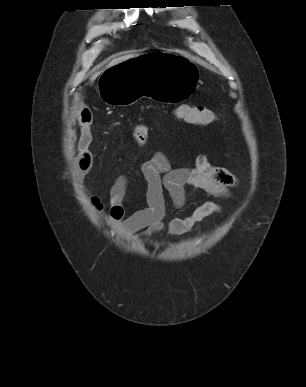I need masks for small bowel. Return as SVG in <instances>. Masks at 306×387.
Instances as JSON below:
<instances>
[{"mask_svg":"<svg viewBox=\"0 0 306 387\" xmlns=\"http://www.w3.org/2000/svg\"><path fill=\"white\" fill-rule=\"evenodd\" d=\"M79 123L75 170L79 177H83L93 164V154L89 149L92 142V115L88 109L80 111ZM141 171L147 184L145 208L135 211L128 217L125 216L123 200L128 187V177L125 174L116 177L110 188L108 216L111 224L125 234L141 232L143 236L150 237L163 230L169 235L188 233L207 217L221 214V205L214 201H205L188 216L165 222V192L172 206L181 210L186 205L187 186L201 189L216 198L230 199L231 189L238 183L233 173L226 168L213 165L208 155L204 153L196 157L192 167L173 168L166 154L152 151L148 160L142 164ZM90 203L95 211L104 210L105 205L99 196H92Z\"/></svg>","mask_w":306,"mask_h":387,"instance_id":"c3829d8e","label":"small bowel"}]
</instances>
